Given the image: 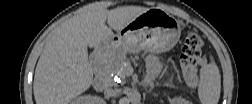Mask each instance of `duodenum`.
Returning <instances> with one entry per match:
<instances>
[{
    "label": "duodenum",
    "mask_w": 252,
    "mask_h": 104,
    "mask_svg": "<svg viewBox=\"0 0 252 104\" xmlns=\"http://www.w3.org/2000/svg\"><path fill=\"white\" fill-rule=\"evenodd\" d=\"M106 85H107V80L105 76L102 74L97 75L95 79L93 80V86L96 90L101 91L105 89Z\"/></svg>",
    "instance_id": "1"
}]
</instances>
